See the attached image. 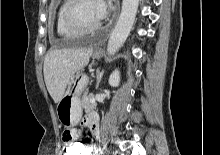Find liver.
I'll return each mask as SVG.
<instances>
[{"label": "liver", "mask_w": 220, "mask_h": 155, "mask_svg": "<svg viewBox=\"0 0 220 155\" xmlns=\"http://www.w3.org/2000/svg\"><path fill=\"white\" fill-rule=\"evenodd\" d=\"M93 49L64 48L48 52L44 60V80L55 103H59L75 73L89 63Z\"/></svg>", "instance_id": "liver-1"}]
</instances>
